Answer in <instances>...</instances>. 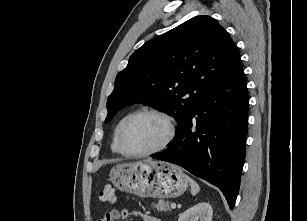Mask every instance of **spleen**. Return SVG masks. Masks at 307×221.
I'll return each instance as SVG.
<instances>
[{
  "label": "spleen",
  "mask_w": 307,
  "mask_h": 221,
  "mask_svg": "<svg viewBox=\"0 0 307 221\" xmlns=\"http://www.w3.org/2000/svg\"><path fill=\"white\" fill-rule=\"evenodd\" d=\"M187 178H188L190 185H191V194L193 196H195L200 191V187L193 179H191L188 176H187Z\"/></svg>",
  "instance_id": "obj_1"
}]
</instances>
